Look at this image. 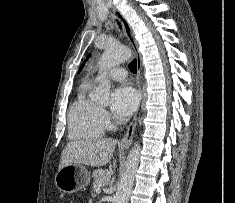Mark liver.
I'll list each match as a JSON object with an SVG mask.
<instances>
[{
    "label": "liver",
    "instance_id": "6515ba94",
    "mask_svg": "<svg viewBox=\"0 0 235 203\" xmlns=\"http://www.w3.org/2000/svg\"><path fill=\"white\" fill-rule=\"evenodd\" d=\"M116 144L117 140L112 138H92L69 142L62 151L59 169L69 164L105 166L111 159Z\"/></svg>",
    "mask_w": 235,
    "mask_h": 203
}]
</instances>
